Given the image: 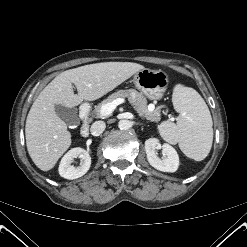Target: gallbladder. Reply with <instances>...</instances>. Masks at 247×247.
<instances>
[{
	"mask_svg": "<svg viewBox=\"0 0 247 247\" xmlns=\"http://www.w3.org/2000/svg\"><path fill=\"white\" fill-rule=\"evenodd\" d=\"M56 114L69 126H78L80 124L77 109L68 108L63 105H55Z\"/></svg>",
	"mask_w": 247,
	"mask_h": 247,
	"instance_id": "bac80fb5",
	"label": "gallbladder"
}]
</instances>
